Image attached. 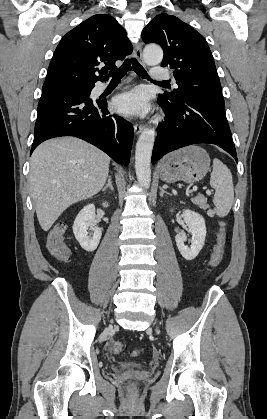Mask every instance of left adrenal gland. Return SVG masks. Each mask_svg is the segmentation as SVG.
Segmentation results:
<instances>
[{
	"instance_id": "a2214340",
	"label": "left adrenal gland",
	"mask_w": 267,
	"mask_h": 419,
	"mask_svg": "<svg viewBox=\"0 0 267 419\" xmlns=\"http://www.w3.org/2000/svg\"><path fill=\"white\" fill-rule=\"evenodd\" d=\"M160 191H161V192H160V196H161V197H163V195H164V194H168V195H170V194H169L168 192H166V191L164 190V188H162V187H160Z\"/></svg>"
}]
</instances>
